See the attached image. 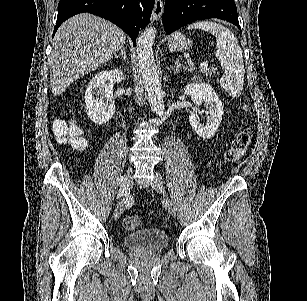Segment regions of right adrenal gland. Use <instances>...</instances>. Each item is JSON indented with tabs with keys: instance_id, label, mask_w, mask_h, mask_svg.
I'll list each match as a JSON object with an SVG mask.
<instances>
[{
	"instance_id": "right-adrenal-gland-1",
	"label": "right adrenal gland",
	"mask_w": 307,
	"mask_h": 301,
	"mask_svg": "<svg viewBox=\"0 0 307 301\" xmlns=\"http://www.w3.org/2000/svg\"><path fill=\"white\" fill-rule=\"evenodd\" d=\"M119 56H122V58H124V60H126L127 56H126V46H124V48H121V52H119V54H115L114 58H119Z\"/></svg>"
}]
</instances>
